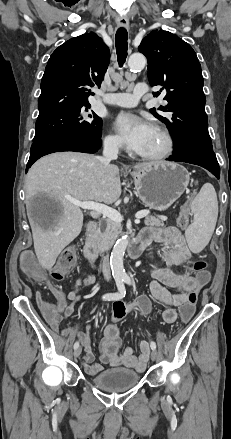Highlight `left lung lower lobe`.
<instances>
[{
    "mask_svg": "<svg viewBox=\"0 0 231 439\" xmlns=\"http://www.w3.org/2000/svg\"><path fill=\"white\" fill-rule=\"evenodd\" d=\"M167 160L199 165L210 171L218 179L220 178V167L212 148L189 145L174 151L173 155Z\"/></svg>",
    "mask_w": 231,
    "mask_h": 439,
    "instance_id": "0a47b994",
    "label": "left lung lower lobe"
}]
</instances>
